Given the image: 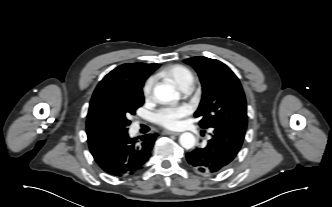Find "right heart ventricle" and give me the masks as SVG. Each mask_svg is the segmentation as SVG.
<instances>
[{"instance_id": "right-heart-ventricle-1", "label": "right heart ventricle", "mask_w": 332, "mask_h": 207, "mask_svg": "<svg viewBox=\"0 0 332 207\" xmlns=\"http://www.w3.org/2000/svg\"><path fill=\"white\" fill-rule=\"evenodd\" d=\"M160 75L172 81L181 90L189 88L194 80L192 71L181 64H173L165 67L160 72Z\"/></svg>"}]
</instances>
